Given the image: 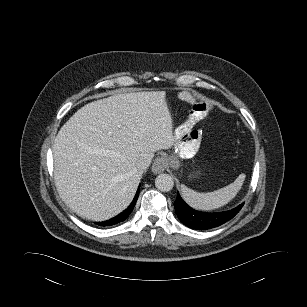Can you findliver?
Masks as SVG:
<instances>
[{
  "label": "liver",
  "instance_id": "liver-1",
  "mask_svg": "<svg viewBox=\"0 0 307 307\" xmlns=\"http://www.w3.org/2000/svg\"><path fill=\"white\" fill-rule=\"evenodd\" d=\"M164 91L113 95L80 108L53 145L57 191L76 214L104 221L131 203L156 151L176 138Z\"/></svg>",
  "mask_w": 307,
  "mask_h": 307
}]
</instances>
